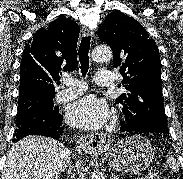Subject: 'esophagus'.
Returning a JSON list of instances; mask_svg holds the SVG:
<instances>
[{
  "label": "esophagus",
  "mask_w": 183,
  "mask_h": 179,
  "mask_svg": "<svg viewBox=\"0 0 183 179\" xmlns=\"http://www.w3.org/2000/svg\"><path fill=\"white\" fill-rule=\"evenodd\" d=\"M84 36H92L94 31L90 28L82 29ZM113 142V137L104 133H95L83 135L79 139V144L86 152L90 154H97L107 149Z\"/></svg>",
  "instance_id": "34e87169"
}]
</instances>
